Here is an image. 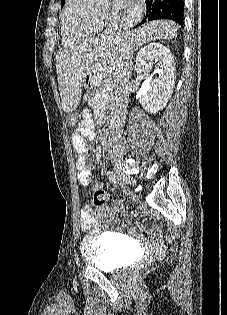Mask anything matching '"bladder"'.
<instances>
[{"label": "bladder", "mask_w": 227, "mask_h": 315, "mask_svg": "<svg viewBox=\"0 0 227 315\" xmlns=\"http://www.w3.org/2000/svg\"><path fill=\"white\" fill-rule=\"evenodd\" d=\"M130 251V247L115 236H89L81 243L84 262L103 271H113L122 267Z\"/></svg>", "instance_id": "31cf9c89"}]
</instances>
